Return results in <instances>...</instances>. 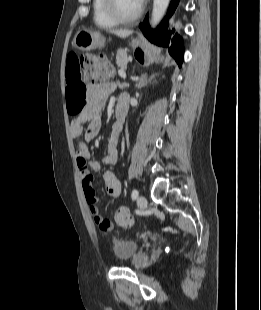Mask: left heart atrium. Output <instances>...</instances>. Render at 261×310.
Instances as JSON below:
<instances>
[{"mask_svg": "<svg viewBox=\"0 0 261 310\" xmlns=\"http://www.w3.org/2000/svg\"><path fill=\"white\" fill-rule=\"evenodd\" d=\"M139 5L141 6L144 3V0H137Z\"/></svg>", "mask_w": 261, "mask_h": 310, "instance_id": "39dd6f15", "label": "left heart atrium"}]
</instances>
